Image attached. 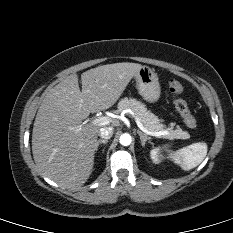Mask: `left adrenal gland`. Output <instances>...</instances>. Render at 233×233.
I'll return each instance as SVG.
<instances>
[{"mask_svg":"<svg viewBox=\"0 0 233 233\" xmlns=\"http://www.w3.org/2000/svg\"><path fill=\"white\" fill-rule=\"evenodd\" d=\"M138 135L140 136L141 139V144L144 147L146 141H148L149 143H151L150 137H148L147 135H145L144 133H142L140 130H137Z\"/></svg>","mask_w":233,"mask_h":233,"instance_id":"left-adrenal-gland-1","label":"left adrenal gland"}]
</instances>
